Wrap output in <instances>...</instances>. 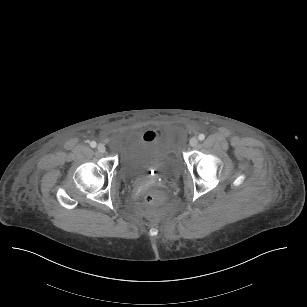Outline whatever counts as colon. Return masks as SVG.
Segmentation results:
<instances>
[{
    "instance_id": "5ec220e1",
    "label": "colon",
    "mask_w": 307,
    "mask_h": 307,
    "mask_svg": "<svg viewBox=\"0 0 307 307\" xmlns=\"http://www.w3.org/2000/svg\"><path fill=\"white\" fill-rule=\"evenodd\" d=\"M161 137V131L159 129L148 130L143 134V139L148 142H153L158 140ZM164 197L158 191L149 192L145 200L151 206H158L161 204Z\"/></svg>"
}]
</instances>
